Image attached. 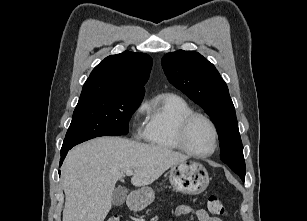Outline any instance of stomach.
Segmentation results:
<instances>
[{
	"label": "stomach",
	"instance_id": "stomach-1",
	"mask_svg": "<svg viewBox=\"0 0 307 221\" xmlns=\"http://www.w3.org/2000/svg\"><path fill=\"white\" fill-rule=\"evenodd\" d=\"M169 180L177 192L198 195L207 188L210 179L202 164L195 161H184L171 167ZM136 195V200L132 204L135 208H144L155 198V193L150 187H142L137 190Z\"/></svg>",
	"mask_w": 307,
	"mask_h": 221
}]
</instances>
